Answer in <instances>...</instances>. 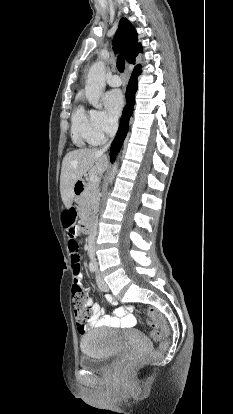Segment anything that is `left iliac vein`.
<instances>
[{
  "mask_svg": "<svg viewBox=\"0 0 233 414\" xmlns=\"http://www.w3.org/2000/svg\"><path fill=\"white\" fill-rule=\"evenodd\" d=\"M97 284L100 290L102 291H109V287L107 285V283L104 281V279L102 278V276L98 273L97 275Z\"/></svg>",
  "mask_w": 233,
  "mask_h": 414,
  "instance_id": "left-iliac-vein-1",
  "label": "left iliac vein"
}]
</instances>
